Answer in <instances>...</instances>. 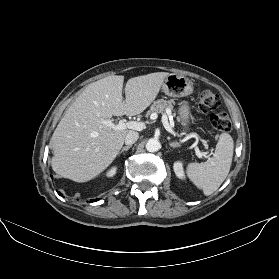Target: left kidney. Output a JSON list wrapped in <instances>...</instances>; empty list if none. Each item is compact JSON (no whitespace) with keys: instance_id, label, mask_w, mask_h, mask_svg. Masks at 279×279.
Listing matches in <instances>:
<instances>
[{"instance_id":"5707ae66","label":"left kidney","mask_w":279,"mask_h":279,"mask_svg":"<svg viewBox=\"0 0 279 279\" xmlns=\"http://www.w3.org/2000/svg\"><path fill=\"white\" fill-rule=\"evenodd\" d=\"M174 172L176 176L180 179H185L183 164L181 161H177L174 163L173 166Z\"/></svg>"}]
</instances>
